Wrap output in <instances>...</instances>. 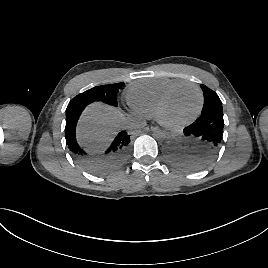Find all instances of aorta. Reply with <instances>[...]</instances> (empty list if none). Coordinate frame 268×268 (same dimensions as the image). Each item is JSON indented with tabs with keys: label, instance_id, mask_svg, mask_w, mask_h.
<instances>
[{
	"label": "aorta",
	"instance_id": "obj_1",
	"mask_svg": "<svg viewBox=\"0 0 268 268\" xmlns=\"http://www.w3.org/2000/svg\"><path fill=\"white\" fill-rule=\"evenodd\" d=\"M153 137L157 140H163L167 137V133L163 130H156L154 133H153Z\"/></svg>",
	"mask_w": 268,
	"mask_h": 268
}]
</instances>
